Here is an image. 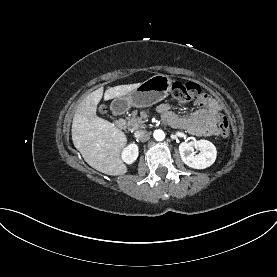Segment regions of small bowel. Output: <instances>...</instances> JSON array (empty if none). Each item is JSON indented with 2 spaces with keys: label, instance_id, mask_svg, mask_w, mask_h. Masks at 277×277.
I'll list each match as a JSON object with an SVG mask.
<instances>
[{
  "label": "small bowel",
  "instance_id": "obj_1",
  "mask_svg": "<svg viewBox=\"0 0 277 277\" xmlns=\"http://www.w3.org/2000/svg\"><path fill=\"white\" fill-rule=\"evenodd\" d=\"M198 104L200 108L186 117L177 116L168 104L160 105L159 112L174 128L184 129L197 136L219 135L218 121L222 110L220 103L208 95H202Z\"/></svg>",
  "mask_w": 277,
  "mask_h": 277
}]
</instances>
